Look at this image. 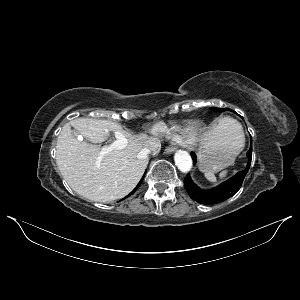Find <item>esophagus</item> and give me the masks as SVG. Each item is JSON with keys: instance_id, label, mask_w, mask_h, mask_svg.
<instances>
[{"instance_id": "esophagus-1", "label": "esophagus", "mask_w": 300, "mask_h": 300, "mask_svg": "<svg viewBox=\"0 0 300 300\" xmlns=\"http://www.w3.org/2000/svg\"><path fill=\"white\" fill-rule=\"evenodd\" d=\"M174 150H175V148H174V147H167V148L165 149V153H167V154H169V153H173V152H174Z\"/></svg>"}]
</instances>
